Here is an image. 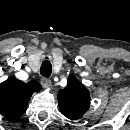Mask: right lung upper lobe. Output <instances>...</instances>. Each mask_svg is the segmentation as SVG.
Returning <instances> with one entry per match:
<instances>
[{"label": "right lung upper lobe", "instance_id": "1", "mask_svg": "<svg viewBox=\"0 0 130 130\" xmlns=\"http://www.w3.org/2000/svg\"><path fill=\"white\" fill-rule=\"evenodd\" d=\"M40 83H24L14 77L0 84V114L7 119L20 117L26 111L33 92H39Z\"/></svg>", "mask_w": 130, "mask_h": 130}]
</instances>
